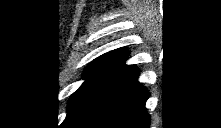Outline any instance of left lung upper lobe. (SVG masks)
Segmentation results:
<instances>
[{
  "label": "left lung upper lobe",
  "mask_w": 221,
  "mask_h": 128,
  "mask_svg": "<svg viewBox=\"0 0 221 128\" xmlns=\"http://www.w3.org/2000/svg\"><path fill=\"white\" fill-rule=\"evenodd\" d=\"M127 57V50L120 48L103 54L87 66L83 75L85 82L70 97L62 126L95 103L135 69L133 65L124 64Z\"/></svg>",
  "instance_id": "1"
}]
</instances>
